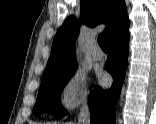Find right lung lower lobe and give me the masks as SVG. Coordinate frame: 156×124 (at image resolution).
<instances>
[{
    "instance_id": "right-lung-lower-lobe-1",
    "label": "right lung lower lobe",
    "mask_w": 156,
    "mask_h": 124,
    "mask_svg": "<svg viewBox=\"0 0 156 124\" xmlns=\"http://www.w3.org/2000/svg\"><path fill=\"white\" fill-rule=\"evenodd\" d=\"M128 43V30L109 41L110 51L105 67L113 77V84L108 90L97 87L92 93L89 101L92 124H115V106L124 82Z\"/></svg>"
}]
</instances>
